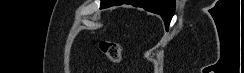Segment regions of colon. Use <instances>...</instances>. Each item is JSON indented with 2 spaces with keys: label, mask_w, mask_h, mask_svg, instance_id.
<instances>
[{
  "label": "colon",
  "mask_w": 244,
  "mask_h": 73,
  "mask_svg": "<svg viewBox=\"0 0 244 73\" xmlns=\"http://www.w3.org/2000/svg\"><path fill=\"white\" fill-rule=\"evenodd\" d=\"M100 49L109 61L118 63L122 60V48L119 42L103 40L100 42Z\"/></svg>",
  "instance_id": "1"
}]
</instances>
